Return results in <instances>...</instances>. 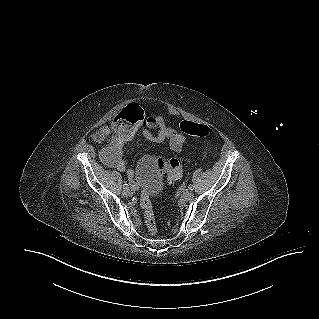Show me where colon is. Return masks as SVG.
<instances>
[{"label":"colon","mask_w":319,"mask_h":319,"mask_svg":"<svg viewBox=\"0 0 319 319\" xmlns=\"http://www.w3.org/2000/svg\"><path fill=\"white\" fill-rule=\"evenodd\" d=\"M186 135H182V134ZM188 136L193 138L208 140L212 136V131L208 125L198 121H191L185 118L172 123H163L156 130V139L163 146L171 148H181L187 141ZM101 137V134H100ZM101 139H103L101 137ZM160 174L165 176L171 183L181 180L183 176V166L177 157L159 156L156 158ZM140 206L144 213V220L148 231L155 234L157 225L149 193L144 189L140 197Z\"/></svg>","instance_id":"1"}]
</instances>
